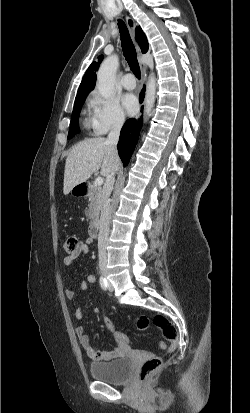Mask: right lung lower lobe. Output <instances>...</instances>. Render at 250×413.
I'll use <instances>...</instances> for the list:
<instances>
[{
    "label": "right lung lower lobe",
    "instance_id": "98d812e1",
    "mask_svg": "<svg viewBox=\"0 0 250 413\" xmlns=\"http://www.w3.org/2000/svg\"><path fill=\"white\" fill-rule=\"evenodd\" d=\"M144 91H145V87L143 88L140 94V97H139L140 103H142L143 101ZM141 127H142V118H139V119L131 118L125 122L121 130L120 139H119L117 148H118L119 156L124 166H127L130 160V157L134 151Z\"/></svg>",
    "mask_w": 250,
    "mask_h": 413
}]
</instances>
